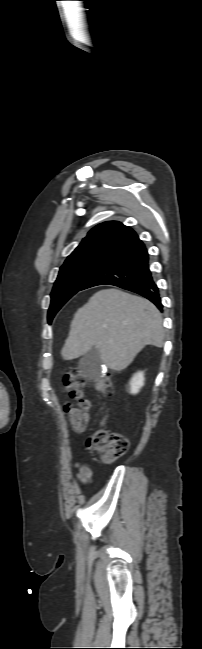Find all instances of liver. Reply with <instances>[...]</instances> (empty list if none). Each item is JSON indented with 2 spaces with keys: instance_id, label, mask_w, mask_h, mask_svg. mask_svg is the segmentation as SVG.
<instances>
[{
  "instance_id": "liver-1",
  "label": "liver",
  "mask_w": 202,
  "mask_h": 649,
  "mask_svg": "<svg viewBox=\"0 0 202 649\" xmlns=\"http://www.w3.org/2000/svg\"><path fill=\"white\" fill-rule=\"evenodd\" d=\"M163 344L157 307L112 288L98 291L76 311L61 354L64 360H73L95 347L108 368L121 371L146 345L161 348Z\"/></svg>"
}]
</instances>
